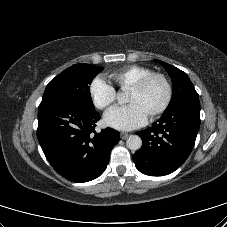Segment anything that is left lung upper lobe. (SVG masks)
Masks as SVG:
<instances>
[{
	"instance_id": "left-lung-upper-lobe-1",
	"label": "left lung upper lobe",
	"mask_w": 227,
	"mask_h": 227,
	"mask_svg": "<svg viewBox=\"0 0 227 227\" xmlns=\"http://www.w3.org/2000/svg\"><path fill=\"white\" fill-rule=\"evenodd\" d=\"M156 61L164 66V68L169 73L173 83L172 98L164 112L171 110L176 105L185 100L198 99V94L185 72L168 63L158 60Z\"/></svg>"
}]
</instances>
